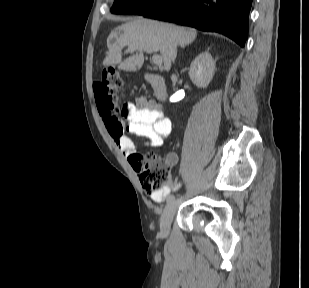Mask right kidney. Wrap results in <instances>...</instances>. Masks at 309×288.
<instances>
[{"mask_svg":"<svg viewBox=\"0 0 309 288\" xmlns=\"http://www.w3.org/2000/svg\"><path fill=\"white\" fill-rule=\"evenodd\" d=\"M215 72V61L211 54L205 51L198 55L190 65L189 77L198 88H206Z\"/></svg>","mask_w":309,"mask_h":288,"instance_id":"obj_1","label":"right kidney"}]
</instances>
